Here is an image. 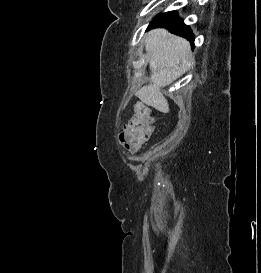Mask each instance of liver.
<instances>
[{
  "instance_id": "obj_1",
  "label": "liver",
  "mask_w": 261,
  "mask_h": 273,
  "mask_svg": "<svg viewBox=\"0 0 261 273\" xmlns=\"http://www.w3.org/2000/svg\"><path fill=\"white\" fill-rule=\"evenodd\" d=\"M151 75L149 84L140 88L136 96L148 106L167 113L169 105L161 89L181 77L195 60L187 40L168 33L165 29H153L145 38Z\"/></svg>"
}]
</instances>
